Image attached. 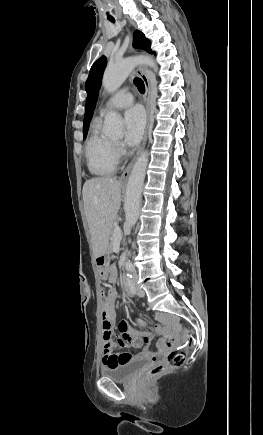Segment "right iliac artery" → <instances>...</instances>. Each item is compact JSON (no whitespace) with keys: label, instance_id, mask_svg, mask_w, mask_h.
Listing matches in <instances>:
<instances>
[{"label":"right iliac artery","instance_id":"right-iliac-artery-1","mask_svg":"<svg viewBox=\"0 0 263 435\" xmlns=\"http://www.w3.org/2000/svg\"><path fill=\"white\" fill-rule=\"evenodd\" d=\"M126 280H127L128 284H129L130 292L134 295L136 293V289H135L134 282H133V279H132V274L127 273Z\"/></svg>","mask_w":263,"mask_h":435}]
</instances>
